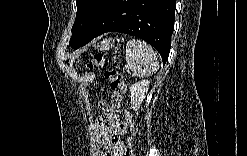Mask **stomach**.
<instances>
[{
	"label": "stomach",
	"instance_id": "1",
	"mask_svg": "<svg viewBox=\"0 0 247 156\" xmlns=\"http://www.w3.org/2000/svg\"><path fill=\"white\" fill-rule=\"evenodd\" d=\"M115 39L109 38V39H103L100 44L96 45L97 49L100 50H108L114 46Z\"/></svg>",
	"mask_w": 247,
	"mask_h": 156
}]
</instances>
